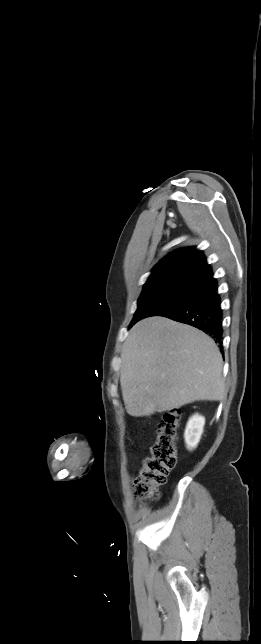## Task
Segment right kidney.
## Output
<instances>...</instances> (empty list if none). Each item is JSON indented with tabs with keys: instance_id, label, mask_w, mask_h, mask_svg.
I'll use <instances>...</instances> for the list:
<instances>
[{
	"instance_id": "1",
	"label": "right kidney",
	"mask_w": 261,
	"mask_h": 644,
	"mask_svg": "<svg viewBox=\"0 0 261 644\" xmlns=\"http://www.w3.org/2000/svg\"><path fill=\"white\" fill-rule=\"evenodd\" d=\"M205 418L199 414L193 415L186 426L184 438L187 448L192 450L197 446L203 433Z\"/></svg>"
}]
</instances>
